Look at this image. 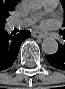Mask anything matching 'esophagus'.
<instances>
[{
  "label": "esophagus",
  "mask_w": 65,
  "mask_h": 89,
  "mask_svg": "<svg viewBox=\"0 0 65 89\" xmlns=\"http://www.w3.org/2000/svg\"><path fill=\"white\" fill-rule=\"evenodd\" d=\"M31 35H32L33 37H35V38H42V39H44V38L47 37V35H46L45 33H42V32H39V31H33V32L31 33Z\"/></svg>",
  "instance_id": "esophagus-1"
}]
</instances>
